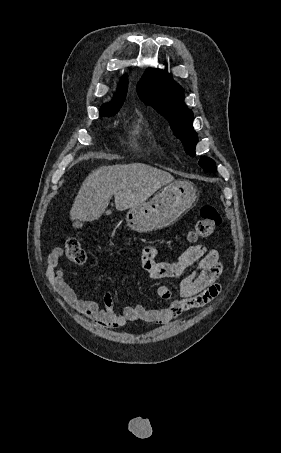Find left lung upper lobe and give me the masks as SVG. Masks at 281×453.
<instances>
[{"mask_svg":"<svg viewBox=\"0 0 281 453\" xmlns=\"http://www.w3.org/2000/svg\"><path fill=\"white\" fill-rule=\"evenodd\" d=\"M140 99L151 105L169 122L174 134L181 140L190 156H195L197 134L193 129V113L183 103V91L167 71L148 69L137 85ZM198 164L205 172H216L215 162L201 157Z\"/></svg>","mask_w":281,"mask_h":453,"instance_id":"1","label":"left lung upper lobe"}]
</instances>
